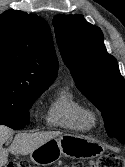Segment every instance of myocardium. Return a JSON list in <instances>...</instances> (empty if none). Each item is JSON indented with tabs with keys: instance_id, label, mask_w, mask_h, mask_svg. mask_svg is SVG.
Wrapping results in <instances>:
<instances>
[{
	"instance_id": "obj_1",
	"label": "myocardium",
	"mask_w": 125,
	"mask_h": 167,
	"mask_svg": "<svg viewBox=\"0 0 125 167\" xmlns=\"http://www.w3.org/2000/svg\"><path fill=\"white\" fill-rule=\"evenodd\" d=\"M85 118L88 121L90 126H93L96 123V114L91 109H86Z\"/></svg>"
}]
</instances>
